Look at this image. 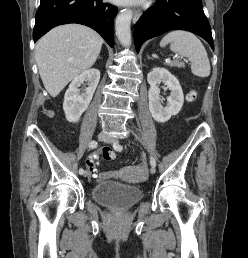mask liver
<instances>
[{"label": "liver", "instance_id": "obj_1", "mask_svg": "<svg viewBox=\"0 0 248 258\" xmlns=\"http://www.w3.org/2000/svg\"><path fill=\"white\" fill-rule=\"evenodd\" d=\"M102 44L97 32L78 24L58 26L39 39L35 59L47 92L56 97L70 81L91 68Z\"/></svg>", "mask_w": 248, "mask_h": 258}]
</instances>
